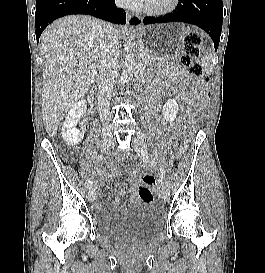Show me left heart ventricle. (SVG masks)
I'll use <instances>...</instances> for the list:
<instances>
[{
  "instance_id": "1",
  "label": "left heart ventricle",
  "mask_w": 265,
  "mask_h": 273,
  "mask_svg": "<svg viewBox=\"0 0 265 273\" xmlns=\"http://www.w3.org/2000/svg\"><path fill=\"white\" fill-rule=\"evenodd\" d=\"M171 0H147L145 3L155 8H162L167 6Z\"/></svg>"
}]
</instances>
